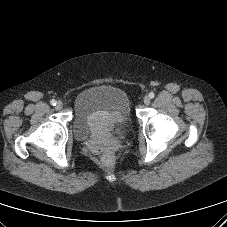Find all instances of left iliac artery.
I'll use <instances>...</instances> for the list:
<instances>
[{
	"instance_id": "obj_1",
	"label": "left iliac artery",
	"mask_w": 227,
	"mask_h": 227,
	"mask_svg": "<svg viewBox=\"0 0 227 227\" xmlns=\"http://www.w3.org/2000/svg\"><path fill=\"white\" fill-rule=\"evenodd\" d=\"M149 97L152 99L155 97V94L153 92L149 93Z\"/></svg>"
}]
</instances>
